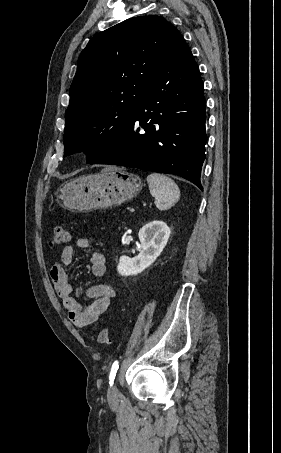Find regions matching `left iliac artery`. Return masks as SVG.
Here are the masks:
<instances>
[{"label": "left iliac artery", "mask_w": 281, "mask_h": 453, "mask_svg": "<svg viewBox=\"0 0 281 453\" xmlns=\"http://www.w3.org/2000/svg\"><path fill=\"white\" fill-rule=\"evenodd\" d=\"M118 368H119L118 361H115L112 365L110 376H109L110 386H112V384L114 383V379H115Z\"/></svg>", "instance_id": "44dca946"}]
</instances>
